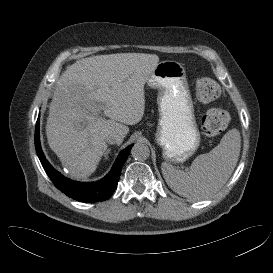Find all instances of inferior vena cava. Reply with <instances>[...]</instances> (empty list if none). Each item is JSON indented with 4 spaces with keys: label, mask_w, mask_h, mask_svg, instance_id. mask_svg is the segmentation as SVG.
I'll use <instances>...</instances> for the list:
<instances>
[{
    "label": "inferior vena cava",
    "mask_w": 273,
    "mask_h": 273,
    "mask_svg": "<svg viewBox=\"0 0 273 273\" xmlns=\"http://www.w3.org/2000/svg\"><path fill=\"white\" fill-rule=\"evenodd\" d=\"M106 142L109 144H121L122 139L118 135H110L106 138Z\"/></svg>",
    "instance_id": "602c4592"
}]
</instances>
